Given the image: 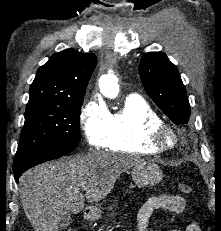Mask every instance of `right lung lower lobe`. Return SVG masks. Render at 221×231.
I'll list each match as a JSON object with an SVG mask.
<instances>
[{
	"label": "right lung lower lobe",
	"instance_id": "right-lung-lower-lobe-1",
	"mask_svg": "<svg viewBox=\"0 0 221 231\" xmlns=\"http://www.w3.org/2000/svg\"><path fill=\"white\" fill-rule=\"evenodd\" d=\"M75 148H52L36 151L24 157L18 163L13 165L14 178L18 182L22 173L29 168L41 164L43 162L53 160L71 153Z\"/></svg>",
	"mask_w": 221,
	"mask_h": 231
}]
</instances>
